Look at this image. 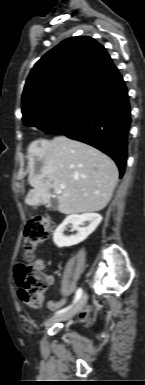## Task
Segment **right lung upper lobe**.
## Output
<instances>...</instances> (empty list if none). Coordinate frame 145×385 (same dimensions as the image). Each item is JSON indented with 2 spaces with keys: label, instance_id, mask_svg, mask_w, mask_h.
<instances>
[{
  "label": "right lung upper lobe",
  "instance_id": "1",
  "mask_svg": "<svg viewBox=\"0 0 145 385\" xmlns=\"http://www.w3.org/2000/svg\"><path fill=\"white\" fill-rule=\"evenodd\" d=\"M120 77L101 44L86 36L68 38L31 70L22 96L23 116L70 90L97 91Z\"/></svg>",
  "mask_w": 145,
  "mask_h": 385
}]
</instances>
